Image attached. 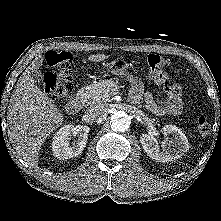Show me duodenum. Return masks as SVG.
Instances as JSON below:
<instances>
[{"label": "duodenum", "mask_w": 221, "mask_h": 221, "mask_svg": "<svg viewBox=\"0 0 221 221\" xmlns=\"http://www.w3.org/2000/svg\"><path fill=\"white\" fill-rule=\"evenodd\" d=\"M90 98L91 96L87 89H80L78 94L67 103V112L72 115L77 114L80 111L82 105L90 101Z\"/></svg>", "instance_id": "1"}]
</instances>
